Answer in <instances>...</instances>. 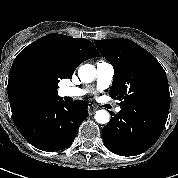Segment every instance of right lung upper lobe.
Masks as SVG:
<instances>
[{
    "instance_id": "cb5924a9",
    "label": "right lung upper lobe",
    "mask_w": 178,
    "mask_h": 178,
    "mask_svg": "<svg viewBox=\"0 0 178 178\" xmlns=\"http://www.w3.org/2000/svg\"><path fill=\"white\" fill-rule=\"evenodd\" d=\"M96 56L98 51L91 41L62 34H48L31 43L17 55L9 72L11 110L27 100L48 98H37L27 92L25 80L29 75L39 74L58 81L70 79L79 64Z\"/></svg>"
}]
</instances>
